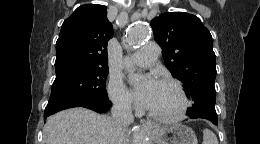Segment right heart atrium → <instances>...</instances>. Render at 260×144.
I'll return each mask as SVG.
<instances>
[{
  "label": "right heart atrium",
  "mask_w": 260,
  "mask_h": 144,
  "mask_svg": "<svg viewBox=\"0 0 260 144\" xmlns=\"http://www.w3.org/2000/svg\"><path fill=\"white\" fill-rule=\"evenodd\" d=\"M108 94L111 101L120 109L131 110L135 107V100L120 76L110 77Z\"/></svg>",
  "instance_id": "right-heart-atrium-1"
}]
</instances>
